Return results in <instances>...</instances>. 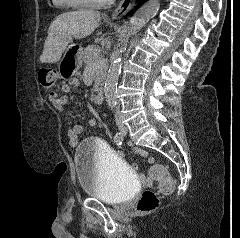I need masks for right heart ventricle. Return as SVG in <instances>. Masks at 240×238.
<instances>
[{
    "instance_id": "obj_1",
    "label": "right heart ventricle",
    "mask_w": 240,
    "mask_h": 238,
    "mask_svg": "<svg viewBox=\"0 0 240 238\" xmlns=\"http://www.w3.org/2000/svg\"><path fill=\"white\" fill-rule=\"evenodd\" d=\"M52 2L54 3V5L58 6V7H76V6H72L69 3L66 2V0H52Z\"/></svg>"
}]
</instances>
